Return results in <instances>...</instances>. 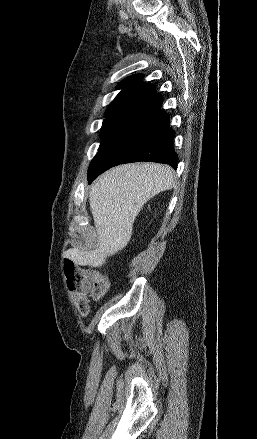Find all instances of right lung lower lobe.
Here are the masks:
<instances>
[{
	"label": "right lung lower lobe",
	"instance_id": "98d812e1",
	"mask_svg": "<svg viewBox=\"0 0 257 439\" xmlns=\"http://www.w3.org/2000/svg\"><path fill=\"white\" fill-rule=\"evenodd\" d=\"M161 102L126 121L98 151L88 169L89 183L107 169L124 163L152 161L177 168L174 131L169 128V115L160 108Z\"/></svg>",
	"mask_w": 257,
	"mask_h": 439
}]
</instances>
